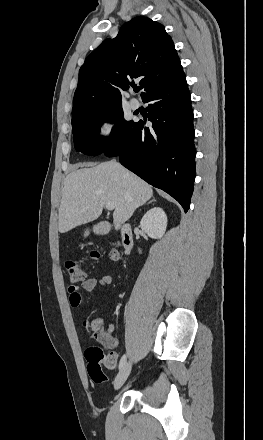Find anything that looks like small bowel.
<instances>
[{"mask_svg":"<svg viewBox=\"0 0 263 440\" xmlns=\"http://www.w3.org/2000/svg\"><path fill=\"white\" fill-rule=\"evenodd\" d=\"M113 280L114 278L112 275L105 274L100 277L87 278L79 286H71L69 288L70 305L75 308L81 305V290L91 292L97 288H103L111 285ZM90 325L99 333L106 349H115L118 346L119 340L113 335L115 330V325L113 323H109L106 327H104V320L97 318L92 320Z\"/></svg>","mask_w":263,"mask_h":440,"instance_id":"c3829d8e","label":"small bowel"}]
</instances>
